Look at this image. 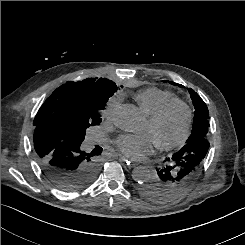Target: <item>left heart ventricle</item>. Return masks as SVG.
Returning <instances> with one entry per match:
<instances>
[{"label": "left heart ventricle", "instance_id": "1", "mask_svg": "<svg viewBox=\"0 0 245 245\" xmlns=\"http://www.w3.org/2000/svg\"><path fill=\"white\" fill-rule=\"evenodd\" d=\"M184 124L185 112L177 107L155 125H151L148 121L144 132L150 135L155 144L170 143L179 138Z\"/></svg>", "mask_w": 245, "mask_h": 245}]
</instances>
